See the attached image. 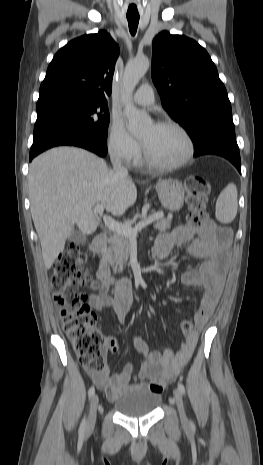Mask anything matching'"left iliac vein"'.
<instances>
[{"label": "left iliac vein", "instance_id": "left-iliac-vein-1", "mask_svg": "<svg viewBox=\"0 0 263 465\" xmlns=\"http://www.w3.org/2000/svg\"><path fill=\"white\" fill-rule=\"evenodd\" d=\"M174 397H175V402L176 406L180 415V418L182 422H186V414H185V409H184V404H183V398H182V393L179 389L174 390Z\"/></svg>", "mask_w": 263, "mask_h": 465}]
</instances>
